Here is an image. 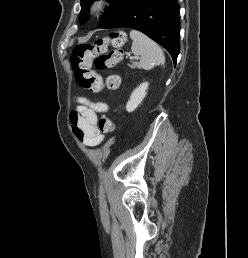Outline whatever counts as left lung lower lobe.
I'll use <instances>...</instances> for the list:
<instances>
[{
  "mask_svg": "<svg viewBox=\"0 0 248 258\" xmlns=\"http://www.w3.org/2000/svg\"><path fill=\"white\" fill-rule=\"evenodd\" d=\"M179 4L177 0H129L101 28L137 29L164 47L176 64L180 51Z\"/></svg>",
  "mask_w": 248,
  "mask_h": 258,
  "instance_id": "obj_1",
  "label": "left lung lower lobe"
}]
</instances>
